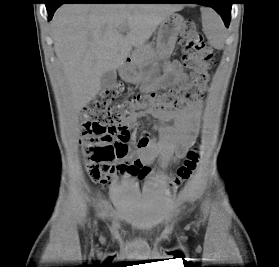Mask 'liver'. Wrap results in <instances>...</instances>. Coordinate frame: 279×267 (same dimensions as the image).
<instances>
[{"instance_id":"obj_1","label":"liver","mask_w":279,"mask_h":267,"mask_svg":"<svg viewBox=\"0 0 279 267\" xmlns=\"http://www.w3.org/2000/svg\"><path fill=\"white\" fill-rule=\"evenodd\" d=\"M181 9L169 4L61 6L52 20V36L73 110L97 95L104 72L121 67L133 47L143 45L168 15Z\"/></svg>"}]
</instances>
